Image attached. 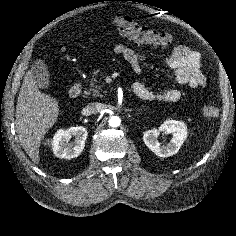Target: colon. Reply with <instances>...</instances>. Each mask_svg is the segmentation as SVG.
Listing matches in <instances>:
<instances>
[{"label": "colon", "mask_w": 236, "mask_h": 236, "mask_svg": "<svg viewBox=\"0 0 236 236\" xmlns=\"http://www.w3.org/2000/svg\"><path fill=\"white\" fill-rule=\"evenodd\" d=\"M113 25L120 34L137 43L157 46H170L175 43V38L172 35L155 31L126 15H116L113 19ZM60 50L64 51L65 47H60ZM218 114L219 109L214 103L207 102L203 105L202 115L205 119H213Z\"/></svg>", "instance_id": "1"}]
</instances>
